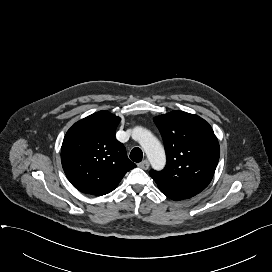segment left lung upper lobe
<instances>
[{"instance_id": "1", "label": "left lung upper lobe", "mask_w": 272, "mask_h": 272, "mask_svg": "<svg viewBox=\"0 0 272 272\" xmlns=\"http://www.w3.org/2000/svg\"><path fill=\"white\" fill-rule=\"evenodd\" d=\"M164 140L167 164L150 171L159 190L173 200L191 198L211 182L220 156L217 137L201 117L172 111L154 118Z\"/></svg>"}]
</instances>
